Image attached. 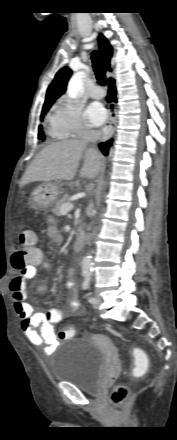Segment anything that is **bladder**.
<instances>
[{"instance_id": "obj_1", "label": "bladder", "mask_w": 177, "mask_h": 440, "mask_svg": "<svg viewBox=\"0 0 177 440\" xmlns=\"http://www.w3.org/2000/svg\"><path fill=\"white\" fill-rule=\"evenodd\" d=\"M100 344L86 339H68L60 343L49 368L51 378L57 382L72 383L88 394L100 393L113 343L102 339Z\"/></svg>"}]
</instances>
